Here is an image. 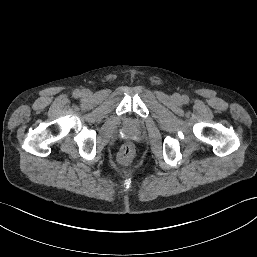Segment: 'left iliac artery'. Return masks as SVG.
Here are the masks:
<instances>
[{
    "label": "left iliac artery",
    "instance_id": "left-iliac-artery-1",
    "mask_svg": "<svg viewBox=\"0 0 257 257\" xmlns=\"http://www.w3.org/2000/svg\"><path fill=\"white\" fill-rule=\"evenodd\" d=\"M182 100H183L184 103H188L189 102V97L184 95Z\"/></svg>",
    "mask_w": 257,
    "mask_h": 257
}]
</instances>
